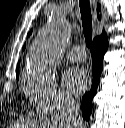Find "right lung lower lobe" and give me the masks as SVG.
<instances>
[{
    "label": "right lung lower lobe",
    "mask_w": 125,
    "mask_h": 128,
    "mask_svg": "<svg viewBox=\"0 0 125 128\" xmlns=\"http://www.w3.org/2000/svg\"><path fill=\"white\" fill-rule=\"evenodd\" d=\"M108 49L107 35L103 31L101 36L94 39L91 47V55L93 58L92 75L93 83L90 91L85 93L82 98V117L89 120L92 111V99L97 92V86L103 69V56Z\"/></svg>",
    "instance_id": "98d812e1"
}]
</instances>
